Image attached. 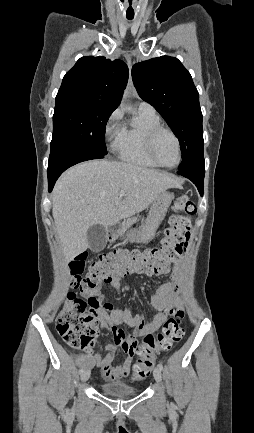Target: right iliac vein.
Listing matches in <instances>:
<instances>
[{
    "instance_id": "63e3f726",
    "label": "right iliac vein",
    "mask_w": 254,
    "mask_h": 433,
    "mask_svg": "<svg viewBox=\"0 0 254 433\" xmlns=\"http://www.w3.org/2000/svg\"><path fill=\"white\" fill-rule=\"evenodd\" d=\"M89 377H90L89 369L83 370V372L81 373V381L86 382L89 379Z\"/></svg>"
}]
</instances>
